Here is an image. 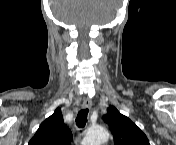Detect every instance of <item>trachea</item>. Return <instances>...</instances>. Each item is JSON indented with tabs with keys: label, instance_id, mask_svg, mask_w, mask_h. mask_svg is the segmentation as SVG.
I'll return each mask as SVG.
<instances>
[{
	"label": "trachea",
	"instance_id": "3493384b",
	"mask_svg": "<svg viewBox=\"0 0 176 145\" xmlns=\"http://www.w3.org/2000/svg\"><path fill=\"white\" fill-rule=\"evenodd\" d=\"M87 115H88V109H82L79 111L77 118H76V125L79 128H83L86 125L87 122Z\"/></svg>",
	"mask_w": 176,
	"mask_h": 145
}]
</instances>
